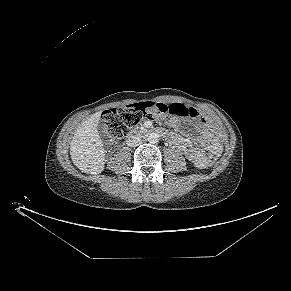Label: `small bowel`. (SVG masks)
<instances>
[{"instance_id": "small-bowel-1", "label": "small bowel", "mask_w": 291, "mask_h": 291, "mask_svg": "<svg viewBox=\"0 0 291 291\" xmlns=\"http://www.w3.org/2000/svg\"><path fill=\"white\" fill-rule=\"evenodd\" d=\"M167 123L176 129H182L186 125H192L190 122H183L176 117L168 118ZM146 125L150 126L151 121H147ZM194 128L199 134L197 145L191 144L184 136L179 134H172L169 138L196 167L202 169L205 168L208 163L205 151L219 155L222 147L219 136L211 123L206 120H201L198 125L194 126Z\"/></svg>"}]
</instances>
